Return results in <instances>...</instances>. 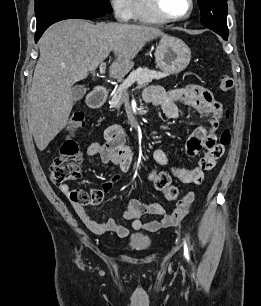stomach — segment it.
Listing matches in <instances>:
<instances>
[{"label":"stomach","mask_w":261,"mask_h":306,"mask_svg":"<svg viewBox=\"0 0 261 306\" xmlns=\"http://www.w3.org/2000/svg\"><path fill=\"white\" fill-rule=\"evenodd\" d=\"M191 60V51L181 39L163 36L155 51L157 67L163 72L178 74L186 69Z\"/></svg>","instance_id":"obj_1"}]
</instances>
